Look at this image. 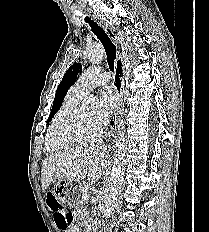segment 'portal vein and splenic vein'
<instances>
[{"label":"portal vein and splenic vein","mask_w":209,"mask_h":232,"mask_svg":"<svg viewBox=\"0 0 209 232\" xmlns=\"http://www.w3.org/2000/svg\"><path fill=\"white\" fill-rule=\"evenodd\" d=\"M82 198H83L84 200H88V199H89V194H88V193H83V194H82Z\"/></svg>","instance_id":"portal-vein-and-splenic-vein-1"}]
</instances>
